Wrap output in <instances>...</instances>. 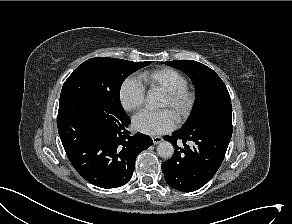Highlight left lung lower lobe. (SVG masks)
I'll return each instance as SVG.
<instances>
[{
    "instance_id": "0a47b994",
    "label": "left lung lower lobe",
    "mask_w": 292,
    "mask_h": 224,
    "mask_svg": "<svg viewBox=\"0 0 292 224\" xmlns=\"http://www.w3.org/2000/svg\"><path fill=\"white\" fill-rule=\"evenodd\" d=\"M231 135L232 127H217L205 131L181 129L172 136H165L175 148L173 157L162 163L168 185L182 192L201 188L220 167ZM178 140L183 147L177 145Z\"/></svg>"
}]
</instances>
